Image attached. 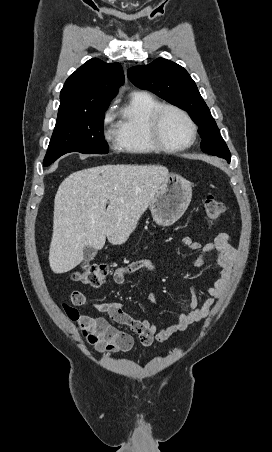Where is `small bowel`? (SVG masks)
<instances>
[{
  "instance_id": "obj_1",
  "label": "small bowel",
  "mask_w": 272,
  "mask_h": 452,
  "mask_svg": "<svg viewBox=\"0 0 272 452\" xmlns=\"http://www.w3.org/2000/svg\"><path fill=\"white\" fill-rule=\"evenodd\" d=\"M182 243L191 251L202 252L199 257L192 260V265L195 267L203 266L207 257L212 255L218 268V275L213 284L205 288L204 293L207 298L203 303H200L196 296V289H192L193 298L188 310L179 314L173 324L164 329H159L156 324L146 319H134L125 311L120 302H96L92 303L91 306L95 310L107 314L116 323L129 327L138 335L141 344L144 346H150L153 342H165L176 334L192 328L197 322L205 320L229 284L232 268L238 258V251L233 246L230 235L225 232L219 233L212 242L206 244L195 241L188 236L182 238ZM140 271L155 273L156 265L149 259L130 261L115 269L113 279L117 284H123L130 275ZM148 298L153 303H157V297L154 293L149 294ZM71 300L77 306L87 304L86 295L78 290L72 292ZM63 309L67 316L78 324L87 342L97 350L125 352L132 348L133 338L131 335L111 327L104 318L80 314L75 307L69 304H64Z\"/></svg>"
}]
</instances>
